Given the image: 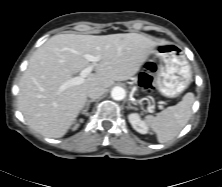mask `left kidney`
Segmentation results:
<instances>
[{
  "label": "left kidney",
  "instance_id": "left-kidney-1",
  "mask_svg": "<svg viewBox=\"0 0 222 187\" xmlns=\"http://www.w3.org/2000/svg\"><path fill=\"white\" fill-rule=\"evenodd\" d=\"M129 122L132 127L141 134L148 133V126L144 121L141 120L140 116L137 113H131L128 116Z\"/></svg>",
  "mask_w": 222,
  "mask_h": 187
}]
</instances>
